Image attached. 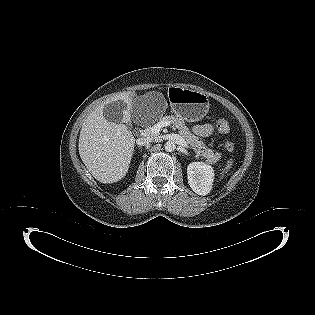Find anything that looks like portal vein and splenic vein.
I'll return each mask as SVG.
<instances>
[{"label":"portal vein and splenic vein","mask_w":315,"mask_h":315,"mask_svg":"<svg viewBox=\"0 0 315 315\" xmlns=\"http://www.w3.org/2000/svg\"><path fill=\"white\" fill-rule=\"evenodd\" d=\"M169 125H170V122L168 121H160L151 127V133L153 135H157L160 132L162 127H167Z\"/></svg>","instance_id":"obj_1"}]
</instances>
